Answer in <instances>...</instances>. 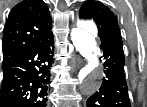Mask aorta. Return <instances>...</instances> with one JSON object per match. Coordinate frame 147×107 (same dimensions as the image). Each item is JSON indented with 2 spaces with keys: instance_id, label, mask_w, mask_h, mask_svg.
<instances>
[{
  "instance_id": "762f6f07",
  "label": "aorta",
  "mask_w": 147,
  "mask_h": 107,
  "mask_svg": "<svg viewBox=\"0 0 147 107\" xmlns=\"http://www.w3.org/2000/svg\"><path fill=\"white\" fill-rule=\"evenodd\" d=\"M96 32L95 25L89 22H83L71 31L74 47L88 61V64L80 70L78 75L81 81V91L86 95L99 89L104 76L102 65L96 63L98 51L94 36Z\"/></svg>"
}]
</instances>
